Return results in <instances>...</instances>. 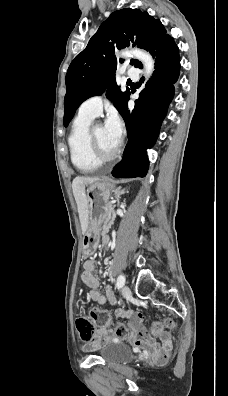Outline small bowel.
<instances>
[{"label":"small bowel","instance_id":"1","mask_svg":"<svg viewBox=\"0 0 228 396\" xmlns=\"http://www.w3.org/2000/svg\"><path fill=\"white\" fill-rule=\"evenodd\" d=\"M102 244L107 248L109 238L104 237ZM96 265L97 261L92 257L87 259L83 264V273L81 278L82 281L90 288L88 297L99 305H104L107 302L115 304L116 299L110 286L106 287L105 294L99 291L100 282L95 275ZM116 315L118 317L125 318L128 321V330L131 341L137 345L146 346L150 351L152 360L156 364L163 365L169 361L173 348L169 333L162 331V333L159 334L160 342H157L156 339L150 336L143 327V315L140 312L118 309L116 311ZM119 339L120 338L115 334L113 329L100 327L95 333L93 339L83 346V349L86 351L93 350L107 342L117 341Z\"/></svg>","mask_w":228,"mask_h":396}]
</instances>
